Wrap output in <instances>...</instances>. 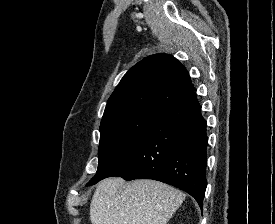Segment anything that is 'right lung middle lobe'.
Returning <instances> with one entry per match:
<instances>
[{
  "mask_svg": "<svg viewBox=\"0 0 275 224\" xmlns=\"http://www.w3.org/2000/svg\"><path fill=\"white\" fill-rule=\"evenodd\" d=\"M165 112L160 108H142L101 124L98 169L87 186L109 177L143 141Z\"/></svg>",
  "mask_w": 275,
  "mask_h": 224,
  "instance_id": "obj_1",
  "label": "right lung middle lobe"
}]
</instances>
